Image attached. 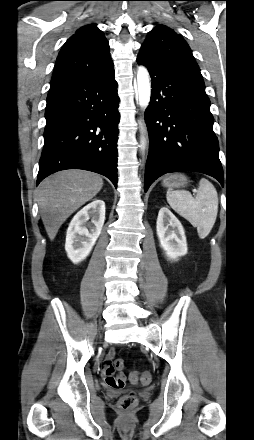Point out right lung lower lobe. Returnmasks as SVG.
Wrapping results in <instances>:
<instances>
[{
    "label": "right lung lower lobe",
    "mask_w": 254,
    "mask_h": 440,
    "mask_svg": "<svg viewBox=\"0 0 254 440\" xmlns=\"http://www.w3.org/2000/svg\"><path fill=\"white\" fill-rule=\"evenodd\" d=\"M113 65L50 87L37 185L64 169L102 174L117 186L119 97Z\"/></svg>",
    "instance_id": "right-lung-lower-lobe-1"
}]
</instances>
